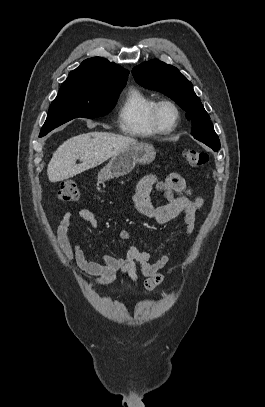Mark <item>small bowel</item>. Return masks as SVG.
<instances>
[{"label":"small bowel","mask_w":265,"mask_h":407,"mask_svg":"<svg viewBox=\"0 0 265 407\" xmlns=\"http://www.w3.org/2000/svg\"><path fill=\"white\" fill-rule=\"evenodd\" d=\"M153 188L164 195L168 201L166 204L158 207L153 205L151 195ZM191 196L192 190L180 174L171 173L165 180H160L154 174H147L138 181L132 199L143 216L159 224L168 223L182 215L185 224L184 235L188 238L194 233L197 214L203 205L201 197L192 199ZM77 217L93 229H98L100 226L98 219L90 210H80ZM73 219L74 215L67 212L57 229L63 257L67 262H75L81 270L94 278L96 284L106 285L112 282L117 271H122L133 281H137L141 273L146 277L143 287L148 291L162 283L164 270L170 262L169 252L154 258L152 253L141 251L135 245H130L123 256L102 255L99 260H88L72 236ZM120 236L124 240L130 239V234L126 230H122Z\"/></svg>","instance_id":"obj_1"}]
</instances>
